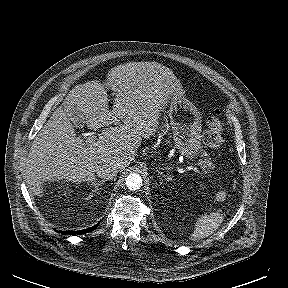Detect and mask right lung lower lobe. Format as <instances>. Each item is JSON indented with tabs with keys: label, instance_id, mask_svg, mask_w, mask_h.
<instances>
[{
	"label": "right lung lower lobe",
	"instance_id": "obj_1",
	"mask_svg": "<svg viewBox=\"0 0 288 288\" xmlns=\"http://www.w3.org/2000/svg\"><path fill=\"white\" fill-rule=\"evenodd\" d=\"M98 224H96L95 226L90 227L88 229L80 230V231H77V232H75V231H71V232L66 231V232H62V233L63 234H85V233H89V232L93 231L98 226Z\"/></svg>",
	"mask_w": 288,
	"mask_h": 288
}]
</instances>
